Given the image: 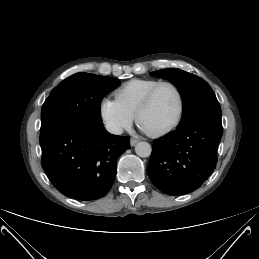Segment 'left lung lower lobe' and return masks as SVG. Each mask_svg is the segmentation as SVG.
<instances>
[{
    "instance_id": "1",
    "label": "left lung lower lobe",
    "mask_w": 259,
    "mask_h": 259,
    "mask_svg": "<svg viewBox=\"0 0 259 259\" xmlns=\"http://www.w3.org/2000/svg\"><path fill=\"white\" fill-rule=\"evenodd\" d=\"M222 137L221 120L202 118L156 139L147 166L153 184L171 196L198 189L217 164V147Z\"/></svg>"
}]
</instances>
